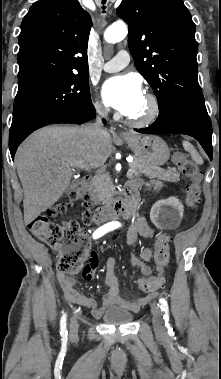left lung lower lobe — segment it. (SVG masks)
<instances>
[{
  "mask_svg": "<svg viewBox=\"0 0 221 379\" xmlns=\"http://www.w3.org/2000/svg\"><path fill=\"white\" fill-rule=\"evenodd\" d=\"M159 110V117L152 125L135 131L143 134L175 133L192 136L212 159V125L206 108L168 103Z\"/></svg>",
  "mask_w": 221,
  "mask_h": 379,
  "instance_id": "0a47b994",
  "label": "left lung lower lobe"
}]
</instances>
